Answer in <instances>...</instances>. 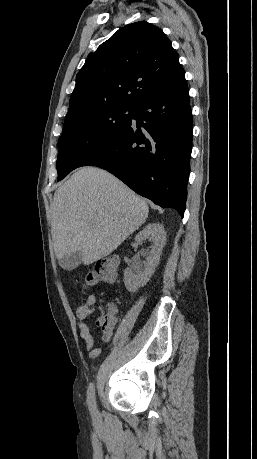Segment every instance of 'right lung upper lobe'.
Listing matches in <instances>:
<instances>
[{"label":"right lung upper lobe","mask_w":257,"mask_h":459,"mask_svg":"<svg viewBox=\"0 0 257 459\" xmlns=\"http://www.w3.org/2000/svg\"><path fill=\"white\" fill-rule=\"evenodd\" d=\"M183 74L160 28L146 21L129 24L88 55L63 127L107 108L136 107Z\"/></svg>","instance_id":"obj_1"}]
</instances>
